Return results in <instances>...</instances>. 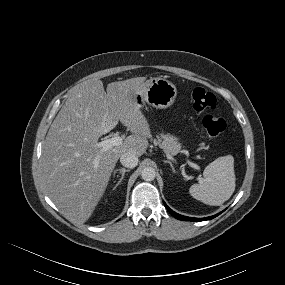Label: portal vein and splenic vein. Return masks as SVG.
Returning a JSON list of instances; mask_svg holds the SVG:
<instances>
[{
    "label": "portal vein and splenic vein",
    "instance_id": "1",
    "mask_svg": "<svg viewBox=\"0 0 285 285\" xmlns=\"http://www.w3.org/2000/svg\"><path fill=\"white\" fill-rule=\"evenodd\" d=\"M122 137L118 136V135H115L114 137L110 138V139H106V140H103L101 142H98L96 144V147L97 148H100L102 151H107L109 150L110 148L114 147V146H118L120 144H122ZM169 156V155H167ZM187 163L195 168V169H199V166L195 163H192L190 162L189 160L187 161ZM199 181L200 182H203V179L202 178H199Z\"/></svg>",
    "mask_w": 285,
    "mask_h": 285
}]
</instances>
